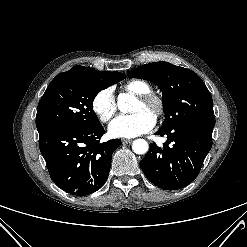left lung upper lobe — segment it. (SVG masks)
I'll return each instance as SVG.
<instances>
[{"mask_svg":"<svg viewBox=\"0 0 247 247\" xmlns=\"http://www.w3.org/2000/svg\"><path fill=\"white\" fill-rule=\"evenodd\" d=\"M128 76L151 80L162 91L165 120L161 129H170L182 123L214 128L212 97L193 71L160 61L137 67Z\"/></svg>","mask_w":247,"mask_h":247,"instance_id":"1","label":"left lung upper lobe"}]
</instances>
